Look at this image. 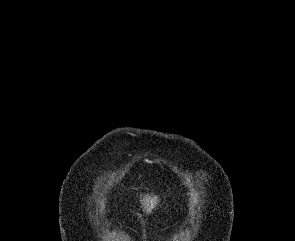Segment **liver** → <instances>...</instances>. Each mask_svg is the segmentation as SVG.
<instances>
[{
  "label": "liver",
  "instance_id": "liver-1",
  "mask_svg": "<svg viewBox=\"0 0 295 241\" xmlns=\"http://www.w3.org/2000/svg\"><path fill=\"white\" fill-rule=\"evenodd\" d=\"M141 203L144 207V211H146V213L150 214L152 212V210L156 207V205L158 204V197L154 196H144L143 200H141Z\"/></svg>",
  "mask_w": 295,
  "mask_h": 241
}]
</instances>
